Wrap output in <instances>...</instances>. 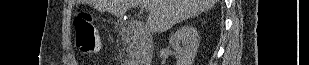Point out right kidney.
<instances>
[{"mask_svg":"<svg viewBox=\"0 0 309 65\" xmlns=\"http://www.w3.org/2000/svg\"><path fill=\"white\" fill-rule=\"evenodd\" d=\"M195 28L182 26L169 38V44L177 54L176 65H192L199 46Z\"/></svg>","mask_w":309,"mask_h":65,"instance_id":"obj_1","label":"right kidney"}]
</instances>
